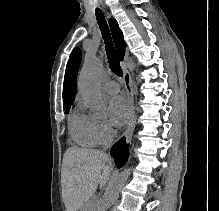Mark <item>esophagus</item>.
Returning <instances> with one entry per match:
<instances>
[{"label": "esophagus", "instance_id": "esophagus-1", "mask_svg": "<svg viewBox=\"0 0 219 211\" xmlns=\"http://www.w3.org/2000/svg\"><path fill=\"white\" fill-rule=\"evenodd\" d=\"M124 84L126 89V97L128 101V107L130 111V116L127 123V128L124 132L126 142L130 143L135 127V105H134V89L133 81L130 72L127 69H124Z\"/></svg>", "mask_w": 219, "mask_h": 211}]
</instances>
